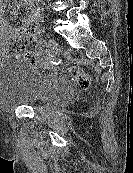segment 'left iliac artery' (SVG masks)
I'll return each mask as SVG.
<instances>
[{"label": "left iliac artery", "instance_id": "obj_1", "mask_svg": "<svg viewBox=\"0 0 133 173\" xmlns=\"http://www.w3.org/2000/svg\"><path fill=\"white\" fill-rule=\"evenodd\" d=\"M40 45H41L42 47H45V46H46V42H45L44 40H42V41H40Z\"/></svg>", "mask_w": 133, "mask_h": 173}]
</instances>
